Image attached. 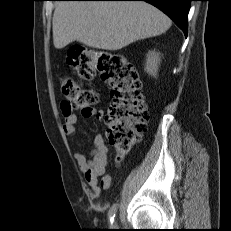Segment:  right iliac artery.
<instances>
[{"instance_id":"right-iliac-artery-1","label":"right iliac artery","mask_w":231,"mask_h":231,"mask_svg":"<svg viewBox=\"0 0 231 231\" xmlns=\"http://www.w3.org/2000/svg\"><path fill=\"white\" fill-rule=\"evenodd\" d=\"M116 211H117V204H114V205H112V207L110 208V210L108 212V219L111 223H113Z\"/></svg>"}]
</instances>
